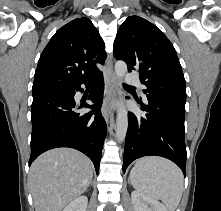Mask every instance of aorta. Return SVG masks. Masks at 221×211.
<instances>
[{
  "instance_id": "aorta-1",
  "label": "aorta",
  "mask_w": 221,
  "mask_h": 211,
  "mask_svg": "<svg viewBox=\"0 0 221 211\" xmlns=\"http://www.w3.org/2000/svg\"><path fill=\"white\" fill-rule=\"evenodd\" d=\"M127 72V65L124 61H117L115 64V73L119 83L121 84L123 77ZM128 128V113L123 103L120 106L116 118V140L123 142Z\"/></svg>"
}]
</instances>
